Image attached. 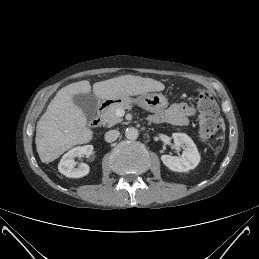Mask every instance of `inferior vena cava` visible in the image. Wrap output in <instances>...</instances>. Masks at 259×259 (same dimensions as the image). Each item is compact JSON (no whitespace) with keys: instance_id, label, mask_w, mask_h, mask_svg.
Here are the masks:
<instances>
[{"instance_id":"1","label":"inferior vena cava","mask_w":259,"mask_h":259,"mask_svg":"<svg viewBox=\"0 0 259 259\" xmlns=\"http://www.w3.org/2000/svg\"><path fill=\"white\" fill-rule=\"evenodd\" d=\"M119 135H120L119 131L109 130L105 134V141L111 143V142L115 141L119 137Z\"/></svg>"}]
</instances>
